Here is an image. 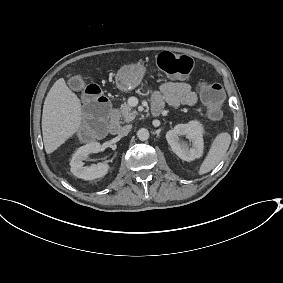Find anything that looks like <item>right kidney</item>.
I'll return each mask as SVG.
<instances>
[{
	"mask_svg": "<svg viewBox=\"0 0 283 283\" xmlns=\"http://www.w3.org/2000/svg\"><path fill=\"white\" fill-rule=\"evenodd\" d=\"M100 149L101 145L98 142H92L78 148L70 161L71 172L78 178L85 180L103 178L110 170L108 163L85 166L83 162L90 154L98 153Z\"/></svg>",
	"mask_w": 283,
	"mask_h": 283,
	"instance_id": "obj_1",
	"label": "right kidney"
}]
</instances>
